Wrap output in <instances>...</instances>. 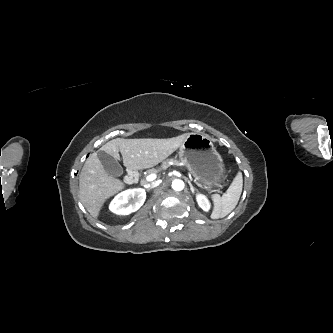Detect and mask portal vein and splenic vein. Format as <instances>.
Returning <instances> with one entry per match:
<instances>
[{
	"label": "portal vein and splenic vein",
	"instance_id": "1",
	"mask_svg": "<svg viewBox=\"0 0 333 333\" xmlns=\"http://www.w3.org/2000/svg\"><path fill=\"white\" fill-rule=\"evenodd\" d=\"M156 177H157L156 173H152V174H149L148 176H146L145 179L147 182H152L156 179Z\"/></svg>",
	"mask_w": 333,
	"mask_h": 333
}]
</instances>
